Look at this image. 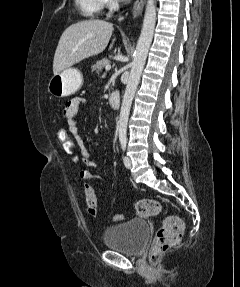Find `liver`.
<instances>
[{"mask_svg":"<svg viewBox=\"0 0 240 287\" xmlns=\"http://www.w3.org/2000/svg\"><path fill=\"white\" fill-rule=\"evenodd\" d=\"M112 32L113 24L104 20L90 19L70 25L60 37L55 51L54 75L85 58L101 53L107 47Z\"/></svg>","mask_w":240,"mask_h":287,"instance_id":"1","label":"liver"}]
</instances>
